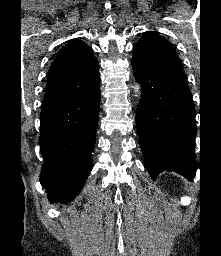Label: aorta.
Returning a JSON list of instances; mask_svg holds the SVG:
<instances>
[{
    "instance_id": "aorta-1",
    "label": "aorta",
    "mask_w": 221,
    "mask_h": 256,
    "mask_svg": "<svg viewBox=\"0 0 221 256\" xmlns=\"http://www.w3.org/2000/svg\"><path fill=\"white\" fill-rule=\"evenodd\" d=\"M137 92L139 91V88L137 87V90H136Z\"/></svg>"
}]
</instances>
